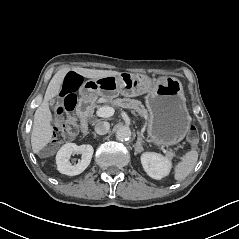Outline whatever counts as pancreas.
I'll list each match as a JSON object with an SVG mask.
<instances>
[{"mask_svg": "<svg viewBox=\"0 0 239 239\" xmlns=\"http://www.w3.org/2000/svg\"><path fill=\"white\" fill-rule=\"evenodd\" d=\"M109 104L112 107H122V108H128V109H134L138 112V114L147 119L148 118V111L147 109L144 107V105L141 103V101L136 100V99H130V98H117V99H113V100H109L108 101ZM94 103V102H92ZM94 108L99 109L100 106L97 104H93Z\"/></svg>", "mask_w": 239, "mask_h": 239, "instance_id": "pancreas-1", "label": "pancreas"}]
</instances>
